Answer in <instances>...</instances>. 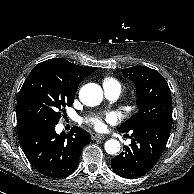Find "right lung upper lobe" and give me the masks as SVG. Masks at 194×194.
<instances>
[{"instance_id": "cb5924a9", "label": "right lung upper lobe", "mask_w": 194, "mask_h": 194, "mask_svg": "<svg viewBox=\"0 0 194 194\" xmlns=\"http://www.w3.org/2000/svg\"><path fill=\"white\" fill-rule=\"evenodd\" d=\"M36 67H47L51 69L66 85L77 91L79 83L87 76L96 71V67H82L70 63L63 58H53L39 63ZM23 123L17 122V127Z\"/></svg>"}]
</instances>
